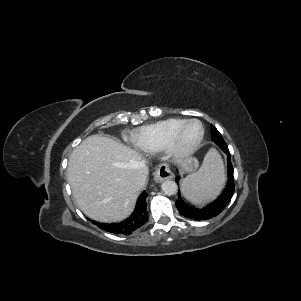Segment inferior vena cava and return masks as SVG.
Listing matches in <instances>:
<instances>
[{
	"label": "inferior vena cava",
	"instance_id": "inferior-vena-cava-1",
	"mask_svg": "<svg viewBox=\"0 0 301 301\" xmlns=\"http://www.w3.org/2000/svg\"><path fill=\"white\" fill-rule=\"evenodd\" d=\"M148 170L146 165H143V170L139 174H137L134 178V184L137 187H142L147 181Z\"/></svg>",
	"mask_w": 301,
	"mask_h": 301
}]
</instances>
